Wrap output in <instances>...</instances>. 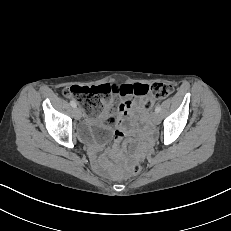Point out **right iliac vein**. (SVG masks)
Wrapping results in <instances>:
<instances>
[{"instance_id":"obj_1","label":"right iliac vein","mask_w":231,"mask_h":231,"mask_svg":"<svg viewBox=\"0 0 231 231\" xmlns=\"http://www.w3.org/2000/svg\"><path fill=\"white\" fill-rule=\"evenodd\" d=\"M74 117H75V119H77V120L81 119V117H82V112H81L80 108H75V109H74Z\"/></svg>"}]
</instances>
